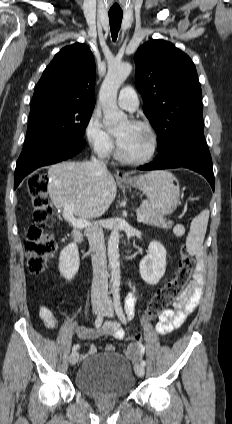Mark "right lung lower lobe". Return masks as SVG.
I'll use <instances>...</instances> for the list:
<instances>
[{
    "label": "right lung lower lobe",
    "mask_w": 232,
    "mask_h": 424,
    "mask_svg": "<svg viewBox=\"0 0 232 424\" xmlns=\"http://www.w3.org/2000/svg\"><path fill=\"white\" fill-rule=\"evenodd\" d=\"M85 146L83 139H65L54 136H36L24 143L15 169L14 189L36 168L66 160L78 154Z\"/></svg>",
    "instance_id": "right-lung-lower-lobe-1"
}]
</instances>
